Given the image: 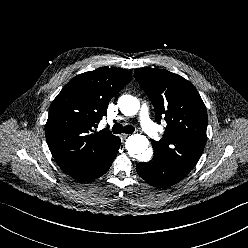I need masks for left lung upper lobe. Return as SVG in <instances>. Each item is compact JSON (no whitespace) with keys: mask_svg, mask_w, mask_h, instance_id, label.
I'll return each mask as SVG.
<instances>
[{"mask_svg":"<svg viewBox=\"0 0 248 248\" xmlns=\"http://www.w3.org/2000/svg\"><path fill=\"white\" fill-rule=\"evenodd\" d=\"M135 78L154 105L157 122L164 118L167 123L161 140H151L154 154L188 174L206 143L207 111L198 91L163 69H137Z\"/></svg>","mask_w":248,"mask_h":248,"instance_id":"left-lung-upper-lobe-1","label":"left lung upper lobe"}]
</instances>
